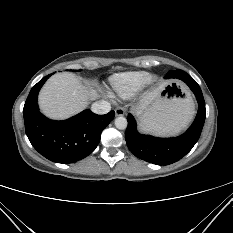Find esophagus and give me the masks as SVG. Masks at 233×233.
<instances>
[{
    "label": "esophagus",
    "mask_w": 233,
    "mask_h": 233,
    "mask_svg": "<svg viewBox=\"0 0 233 233\" xmlns=\"http://www.w3.org/2000/svg\"><path fill=\"white\" fill-rule=\"evenodd\" d=\"M126 111L123 107H118L115 109V115L116 116H123L125 115Z\"/></svg>",
    "instance_id": "34e87169"
}]
</instances>
